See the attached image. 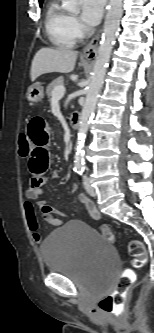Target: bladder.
Instances as JSON below:
<instances>
[{
	"label": "bladder",
	"instance_id": "31cf9c89",
	"mask_svg": "<svg viewBox=\"0 0 154 333\" xmlns=\"http://www.w3.org/2000/svg\"><path fill=\"white\" fill-rule=\"evenodd\" d=\"M45 268L86 288L107 291L118 257L111 243L85 222L72 220L53 230L40 247Z\"/></svg>",
	"mask_w": 154,
	"mask_h": 333
}]
</instances>
